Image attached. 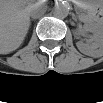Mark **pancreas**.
<instances>
[{
    "label": "pancreas",
    "mask_w": 103,
    "mask_h": 103,
    "mask_svg": "<svg viewBox=\"0 0 103 103\" xmlns=\"http://www.w3.org/2000/svg\"><path fill=\"white\" fill-rule=\"evenodd\" d=\"M78 16H79V19H80L81 21H83V22H88V21H89L88 16L85 15L83 12H80V13L78 14Z\"/></svg>",
    "instance_id": "pancreas-1"
}]
</instances>
